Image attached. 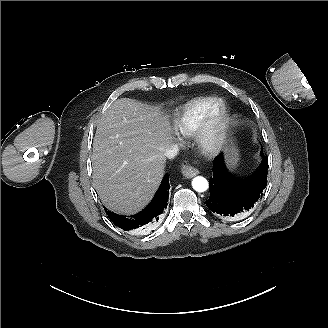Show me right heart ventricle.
Instances as JSON below:
<instances>
[{"label": "right heart ventricle", "mask_w": 328, "mask_h": 328, "mask_svg": "<svg viewBox=\"0 0 328 328\" xmlns=\"http://www.w3.org/2000/svg\"><path fill=\"white\" fill-rule=\"evenodd\" d=\"M215 99L212 96H202L186 101L178 111L180 118V135L178 140L191 137L198 115L204 108L211 105Z\"/></svg>", "instance_id": "right-heart-ventricle-1"}]
</instances>
